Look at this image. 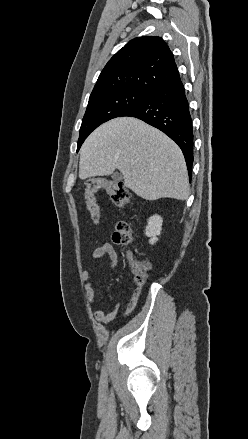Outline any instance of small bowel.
I'll use <instances>...</instances> for the list:
<instances>
[{
    "label": "small bowel",
    "instance_id": "obj_1",
    "mask_svg": "<svg viewBox=\"0 0 248 439\" xmlns=\"http://www.w3.org/2000/svg\"><path fill=\"white\" fill-rule=\"evenodd\" d=\"M108 256L109 260H110V269H113L117 263H118V254L117 251L115 250V248L113 247V245L109 242H104L103 244H101L100 246H98L97 248H95L92 252V259L94 261H98L100 259H102L103 257ZM82 278L83 280L86 282V296H87V300L90 304H95L96 303V290L93 286V272L91 270H85L82 273ZM140 287H137L134 289L131 298L129 299L127 306H126V310H125V316L130 315L138 302V298L140 295ZM121 308V304L117 303L114 308L109 311L106 312L103 309H98L95 312V319L98 322L101 323H109L110 321H112L115 316L117 315V313L119 312Z\"/></svg>",
    "mask_w": 248,
    "mask_h": 439
}]
</instances>
